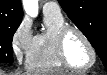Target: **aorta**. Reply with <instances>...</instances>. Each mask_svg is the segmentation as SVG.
I'll use <instances>...</instances> for the list:
<instances>
[{
	"instance_id": "1",
	"label": "aorta",
	"mask_w": 107,
	"mask_h": 75,
	"mask_svg": "<svg viewBox=\"0 0 107 75\" xmlns=\"http://www.w3.org/2000/svg\"><path fill=\"white\" fill-rule=\"evenodd\" d=\"M23 6L26 13L31 17H36L38 14V0H24Z\"/></svg>"
}]
</instances>
